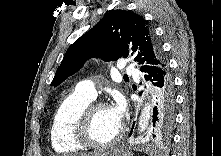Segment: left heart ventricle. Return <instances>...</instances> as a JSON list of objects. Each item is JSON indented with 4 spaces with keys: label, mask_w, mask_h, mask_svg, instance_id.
Masks as SVG:
<instances>
[{
    "label": "left heart ventricle",
    "mask_w": 221,
    "mask_h": 156,
    "mask_svg": "<svg viewBox=\"0 0 221 156\" xmlns=\"http://www.w3.org/2000/svg\"><path fill=\"white\" fill-rule=\"evenodd\" d=\"M119 128L120 125L111 117L109 108H99L95 111L91 121L90 136L94 141L104 143L112 139Z\"/></svg>",
    "instance_id": "b2bd125f"
}]
</instances>
